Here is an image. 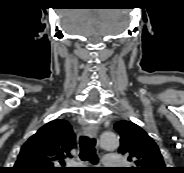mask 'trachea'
Here are the masks:
<instances>
[{"mask_svg": "<svg viewBox=\"0 0 184 173\" xmlns=\"http://www.w3.org/2000/svg\"><path fill=\"white\" fill-rule=\"evenodd\" d=\"M80 145V159L82 161H90L92 164L98 163V157L96 154V140L87 136H81L79 140Z\"/></svg>", "mask_w": 184, "mask_h": 173, "instance_id": "obj_1", "label": "trachea"}]
</instances>
